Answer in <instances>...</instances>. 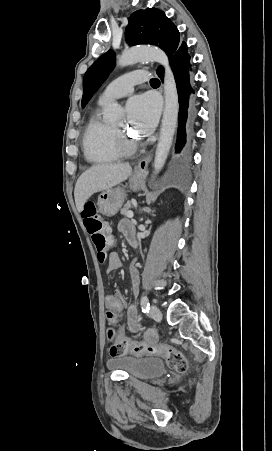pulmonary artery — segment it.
<instances>
[{"mask_svg": "<svg viewBox=\"0 0 272 451\" xmlns=\"http://www.w3.org/2000/svg\"><path fill=\"white\" fill-rule=\"evenodd\" d=\"M152 72L142 67L136 72L130 69L127 74L121 76L115 81L111 82L99 97V102L104 103L108 100H114L130 95L133 92L135 84L143 82L145 79H150Z\"/></svg>", "mask_w": 272, "mask_h": 451, "instance_id": "e3ab8cb5", "label": "pulmonary artery"}]
</instances>
